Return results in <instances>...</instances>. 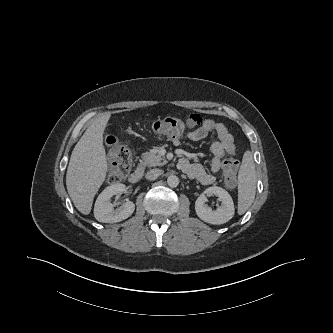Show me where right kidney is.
<instances>
[{
    "label": "right kidney",
    "mask_w": 333,
    "mask_h": 333,
    "mask_svg": "<svg viewBox=\"0 0 333 333\" xmlns=\"http://www.w3.org/2000/svg\"><path fill=\"white\" fill-rule=\"evenodd\" d=\"M125 191V185L121 183L113 184L105 188L98 196L94 206V216L97 221L103 223H116L127 219L135 210V205L127 201L119 208L114 209L110 202L114 195Z\"/></svg>",
    "instance_id": "ca27d5eb"
}]
</instances>
